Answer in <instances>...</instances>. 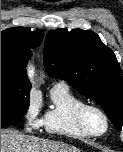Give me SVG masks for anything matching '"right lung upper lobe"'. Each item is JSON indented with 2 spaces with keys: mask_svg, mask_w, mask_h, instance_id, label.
Returning <instances> with one entry per match:
<instances>
[{
  "mask_svg": "<svg viewBox=\"0 0 123 152\" xmlns=\"http://www.w3.org/2000/svg\"><path fill=\"white\" fill-rule=\"evenodd\" d=\"M44 36L42 30L29 31L26 28H9L1 32V74L10 75L21 83L30 85L25 66L31 57V49L40 45Z\"/></svg>",
  "mask_w": 123,
  "mask_h": 152,
  "instance_id": "cb5924a9",
  "label": "right lung upper lobe"
}]
</instances>
